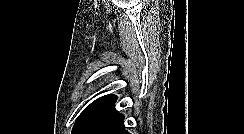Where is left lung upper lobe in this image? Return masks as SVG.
Segmentation results:
<instances>
[{"label":"left lung upper lobe","instance_id":"1","mask_svg":"<svg viewBox=\"0 0 244 134\" xmlns=\"http://www.w3.org/2000/svg\"><path fill=\"white\" fill-rule=\"evenodd\" d=\"M117 97L105 95L93 101L75 121L72 134H93L105 121L117 113Z\"/></svg>","mask_w":244,"mask_h":134}]
</instances>
